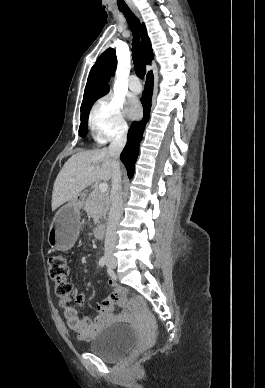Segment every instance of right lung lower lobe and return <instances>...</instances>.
<instances>
[{"label":"right lung lower lobe","instance_id":"obj_1","mask_svg":"<svg viewBox=\"0 0 265 388\" xmlns=\"http://www.w3.org/2000/svg\"><path fill=\"white\" fill-rule=\"evenodd\" d=\"M153 73L150 71L146 77V84L141 98L144 109L143 119L133 122L128 131V141L123 149L120 159L126 166L128 177L131 179L135 171V163L139 153V145L142 140L143 131L150 117L151 99L153 94Z\"/></svg>","mask_w":265,"mask_h":388}]
</instances>
